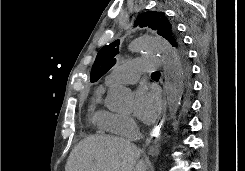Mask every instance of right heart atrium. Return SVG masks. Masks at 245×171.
Returning <instances> with one entry per match:
<instances>
[{"label":"right heart atrium","instance_id":"d8ad5b80","mask_svg":"<svg viewBox=\"0 0 245 171\" xmlns=\"http://www.w3.org/2000/svg\"><path fill=\"white\" fill-rule=\"evenodd\" d=\"M106 129L129 138L135 135L137 124L129 115L113 114L107 122Z\"/></svg>","mask_w":245,"mask_h":171}]
</instances>
